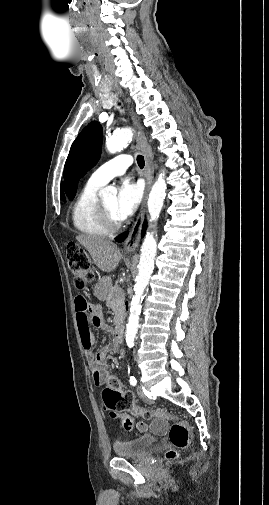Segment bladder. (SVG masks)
Segmentation results:
<instances>
[{"instance_id": "31cf9c89", "label": "bladder", "mask_w": 269, "mask_h": 505, "mask_svg": "<svg viewBox=\"0 0 269 505\" xmlns=\"http://www.w3.org/2000/svg\"><path fill=\"white\" fill-rule=\"evenodd\" d=\"M156 442L155 436L143 434L129 440L114 442L113 451L119 458H141Z\"/></svg>"}]
</instances>
